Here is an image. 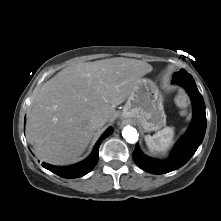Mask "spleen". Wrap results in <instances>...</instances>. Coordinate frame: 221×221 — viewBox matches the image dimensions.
I'll use <instances>...</instances> for the list:
<instances>
[{
    "instance_id": "3e777b00",
    "label": "spleen",
    "mask_w": 221,
    "mask_h": 221,
    "mask_svg": "<svg viewBox=\"0 0 221 221\" xmlns=\"http://www.w3.org/2000/svg\"><path fill=\"white\" fill-rule=\"evenodd\" d=\"M174 128L165 127L154 135H146L145 141L151 152H165L173 143Z\"/></svg>"
}]
</instances>
